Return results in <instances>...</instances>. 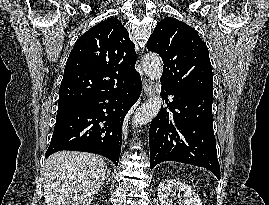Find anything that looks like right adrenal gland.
Returning a JSON list of instances; mask_svg holds the SVG:
<instances>
[{"mask_svg":"<svg viewBox=\"0 0 269 205\" xmlns=\"http://www.w3.org/2000/svg\"><path fill=\"white\" fill-rule=\"evenodd\" d=\"M109 176H110V171L107 170V174H106V177L104 179L107 182V184H109V181H110Z\"/></svg>","mask_w":269,"mask_h":205,"instance_id":"2a0ac1e0","label":"right adrenal gland"}]
</instances>
